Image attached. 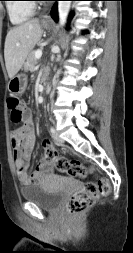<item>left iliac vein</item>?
Listing matches in <instances>:
<instances>
[{"label": "left iliac vein", "mask_w": 133, "mask_h": 253, "mask_svg": "<svg viewBox=\"0 0 133 253\" xmlns=\"http://www.w3.org/2000/svg\"><path fill=\"white\" fill-rule=\"evenodd\" d=\"M53 138H54L57 142H59V143H62V142H63V139L60 137V135H59V133H58L57 131H55V132L53 133Z\"/></svg>", "instance_id": "1"}]
</instances>
